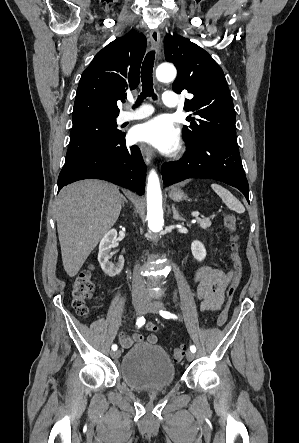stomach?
<instances>
[{"instance_id":"stomach-1","label":"stomach","mask_w":299,"mask_h":443,"mask_svg":"<svg viewBox=\"0 0 299 443\" xmlns=\"http://www.w3.org/2000/svg\"><path fill=\"white\" fill-rule=\"evenodd\" d=\"M170 197L174 201H181L182 199H186V195L184 194V192L179 189H172L170 192Z\"/></svg>"}]
</instances>
